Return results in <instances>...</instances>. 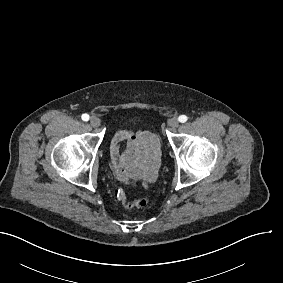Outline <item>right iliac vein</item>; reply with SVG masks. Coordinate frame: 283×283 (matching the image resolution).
I'll return each instance as SVG.
<instances>
[{
    "instance_id": "1",
    "label": "right iliac vein",
    "mask_w": 283,
    "mask_h": 283,
    "mask_svg": "<svg viewBox=\"0 0 283 283\" xmlns=\"http://www.w3.org/2000/svg\"><path fill=\"white\" fill-rule=\"evenodd\" d=\"M90 124L93 126V127H98L100 126V119L96 116H93L91 117L90 119Z\"/></svg>"
}]
</instances>
